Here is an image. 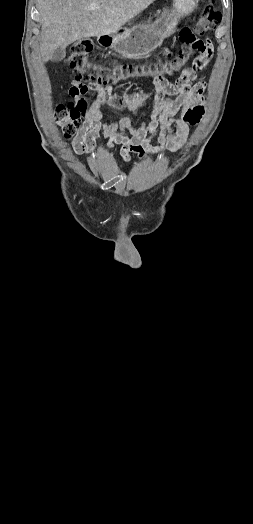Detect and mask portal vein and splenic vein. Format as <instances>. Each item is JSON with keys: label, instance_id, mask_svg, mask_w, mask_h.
Listing matches in <instances>:
<instances>
[{"label": "portal vein and splenic vein", "instance_id": "obj_1", "mask_svg": "<svg viewBox=\"0 0 253 524\" xmlns=\"http://www.w3.org/2000/svg\"><path fill=\"white\" fill-rule=\"evenodd\" d=\"M96 7L94 5H91L90 9L94 10Z\"/></svg>", "mask_w": 253, "mask_h": 524}]
</instances>
